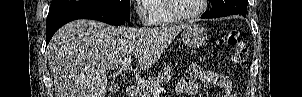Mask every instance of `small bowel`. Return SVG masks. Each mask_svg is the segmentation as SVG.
Here are the masks:
<instances>
[{
  "label": "small bowel",
  "mask_w": 302,
  "mask_h": 97,
  "mask_svg": "<svg viewBox=\"0 0 302 97\" xmlns=\"http://www.w3.org/2000/svg\"><path fill=\"white\" fill-rule=\"evenodd\" d=\"M214 86L220 97H237L233 90L232 82L228 76L221 72L207 70L197 65L187 68L177 82L175 91L178 95L183 93L196 94L201 85Z\"/></svg>",
  "instance_id": "obj_1"
}]
</instances>
